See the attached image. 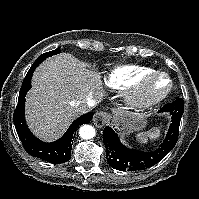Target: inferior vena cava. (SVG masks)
Returning a JSON list of instances; mask_svg holds the SVG:
<instances>
[{"label": "inferior vena cava", "instance_id": "1", "mask_svg": "<svg viewBox=\"0 0 199 199\" xmlns=\"http://www.w3.org/2000/svg\"><path fill=\"white\" fill-rule=\"evenodd\" d=\"M94 104L95 103L93 101L82 102L77 105V111L79 113H85V112L89 111L94 106Z\"/></svg>", "mask_w": 199, "mask_h": 199}]
</instances>
